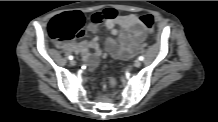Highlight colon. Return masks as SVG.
Listing matches in <instances>:
<instances>
[{
	"label": "colon",
	"instance_id": "obj_1",
	"mask_svg": "<svg viewBox=\"0 0 218 122\" xmlns=\"http://www.w3.org/2000/svg\"><path fill=\"white\" fill-rule=\"evenodd\" d=\"M146 28L151 29L154 25V17L145 14L141 18ZM85 17L79 11L66 12L54 17L49 24V34L58 43L80 37L83 34ZM115 80L109 77V85L114 86Z\"/></svg>",
	"mask_w": 218,
	"mask_h": 122
}]
</instances>
